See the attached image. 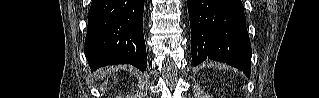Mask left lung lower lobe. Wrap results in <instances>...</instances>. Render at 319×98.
Segmentation results:
<instances>
[{"label":"left lung lower lobe","mask_w":319,"mask_h":98,"mask_svg":"<svg viewBox=\"0 0 319 98\" xmlns=\"http://www.w3.org/2000/svg\"><path fill=\"white\" fill-rule=\"evenodd\" d=\"M193 65L206 58L227 63L250 78L251 45L240 0H188Z\"/></svg>","instance_id":"1"}]
</instances>
